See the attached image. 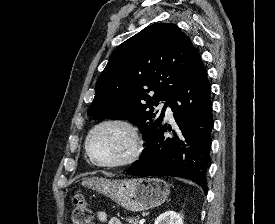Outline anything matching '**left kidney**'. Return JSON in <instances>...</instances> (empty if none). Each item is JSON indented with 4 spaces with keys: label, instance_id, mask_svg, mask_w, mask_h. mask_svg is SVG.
Instances as JSON below:
<instances>
[{
    "label": "left kidney",
    "instance_id": "obj_1",
    "mask_svg": "<svg viewBox=\"0 0 275 224\" xmlns=\"http://www.w3.org/2000/svg\"><path fill=\"white\" fill-rule=\"evenodd\" d=\"M154 224H183V219L174 211H166L155 220Z\"/></svg>",
    "mask_w": 275,
    "mask_h": 224
}]
</instances>
